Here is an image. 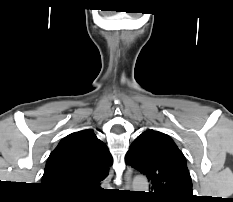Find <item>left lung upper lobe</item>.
Listing matches in <instances>:
<instances>
[{"label":"left lung upper lobe","instance_id":"1","mask_svg":"<svg viewBox=\"0 0 233 202\" xmlns=\"http://www.w3.org/2000/svg\"><path fill=\"white\" fill-rule=\"evenodd\" d=\"M128 164L150 181L149 198L156 202H191L192 181L185 157L166 134L146 130L131 144Z\"/></svg>","mask_w":233,"mask_h":202}]
</instances>
